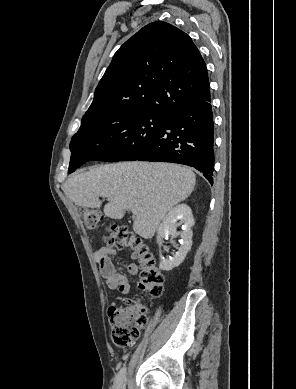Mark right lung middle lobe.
<instances>
[{
  "label": "right lung middle lobe",
  "instance_id": "right-lung-middle-lobe-1",
  "mask_svg": "<svg viewBox=\"0 0 296 389\" xmlns=\"http://www.w3.org/2000/svg\"><path fill=\"white\" fill-rule=\"evenodd\" d=\"M166 115L121 108L82 119L72 137L68 173L90 160L134 161L161 130Z\"/></svg>",
  "mask_w": 296,
  "mask_h": 389
}]
</instances>
